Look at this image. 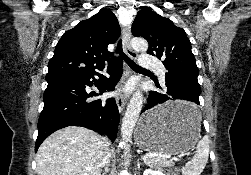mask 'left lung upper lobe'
Here are the masks:
<instances>
[{"instance_id": "1", "label": "left lung upper lobe", "mask_w": 251, "mask_h": 175, "mask_svg": "<svg viewBox=\"0 0 251 175\" xmlns=\"http://www.w3.org/2000/svg\"><path fill=\"white\" fill-rule=\"evenodd\" d=\"M134 36L145 38L150 47L148 54L162 59L168 72H181L198 76L191 43L185 31L159 14L142 9L138 11L132 25Z\"/></svg>"}]
</instances>
